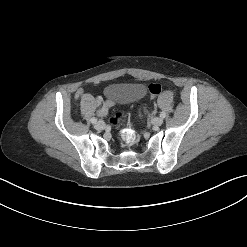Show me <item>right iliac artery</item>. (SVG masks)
<instances>
[{"label": "right iliac artery", "instance_id": "right-iliac-artery-1", "mask_svg": "<svg viewBox=\"0 0 247 247\" xmlns=\"http://www.w3.org/2000/svg\"><path fill=\"white\" fill-rule=\"evenodd\" d=\"M105 111H107L106 106H104V107L102 108L101 112L103 113V112H105ZM90 121H91L92 124H95V123L97 122V118L93 117V118H91Z\"/></svg>", "mask_w": 247, "mask_h": 247}]
</instances>
